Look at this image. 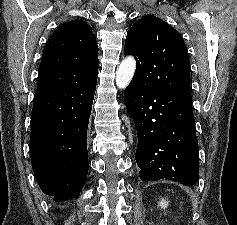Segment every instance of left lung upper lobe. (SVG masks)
Instances as JSON below:
<instances>
[{
  "mask_svg": "<svg viewBox=\"0 0 237 225\" xmlns=\"http://www.w3.org/2000/svg\"><path fill=\"white\" fill-rule=\"evenodd\" d=\"M124 52L136 59L132 81L140 88L191 95L186 45L163 20L146 15L136 21L127 32Z\"/></svg>",
  "mask_w": 237,
  "mask_h": 225,
  "instance_id": "1",
  "label": "left lung upper lobe"
}]
</instances>
